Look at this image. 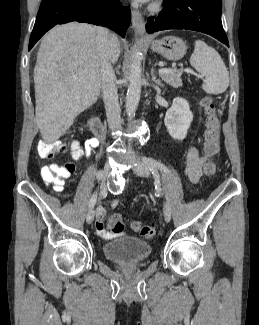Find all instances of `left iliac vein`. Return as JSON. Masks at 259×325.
Wrapping results in <instances>:
<instances>
[{"mask_svg": "<svg viewBox=\"0 0 259 325\" xmlns=\"http://www.w3.org/2000/svg\"><path fill=\"white\" fill-rule=\"evenodd\" d=\"M133 171L141 177H149V169L146 164L139 162L136 166L133 167ZM163 213L166 222H169L171 219V207L169 203L165 202L163 206Z\"/></svg>", "mask_w": 259, "mask_h": 325, "instance_id": "4c4485c4", "label": "left iliac vein"}]
</instances>
